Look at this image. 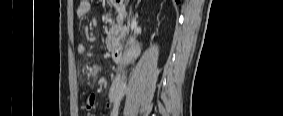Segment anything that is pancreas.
<instances>
[{
    "label": "pancreas",
    "instance_id": "1",
    "mask_svg": "<svg viewBox=\"0 0 283 116\" xmlns=\"http://www.w3.org/2000/svg\"><path fill=\"white\" fill-rule=\"evenodd\" d=\"M109 23L111 24V28L107 33L106 46L109 51H113L120 39L126 36L129 29L123 26L121 22L115 23V21L110 20Z\"/></svg>",
    "mask_w": 283,
    "mask_h": 116
}]
</instances>
